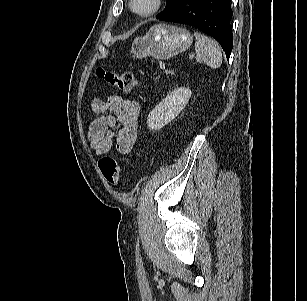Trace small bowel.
I'll use <instances>...</instances> for the list:
<instances>
[{
	"instance_id": "c3829d8e",
	"label": "small bowel",
	"mask_w": 307,
	"mask_h": 301,
	"mask_svg": "<svg viewBox=\"0 0 307 301\" xmlns=\"http://www.w3.org/2000/svg\"><path fill=\"white\" fill-rule=\"evenodd\" d=\"M91 108L98 115L89 129L90 146L95 153L107 155L113 145L120 154L130 153L138 137L139 102L111 95L93 99Z\"/></svg>"
}]
</instances>
